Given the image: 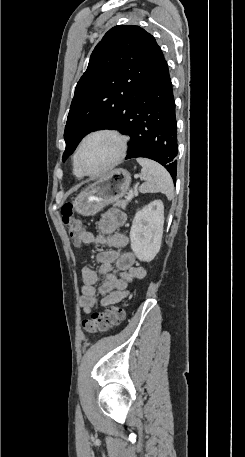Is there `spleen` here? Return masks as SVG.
Returning a JSON list of instances; mask_svg holds the SVG:
<instances>
[{"label":"spleen","mask_w":245,"mask_h":457,"mask_svg":"<svg viewBox=\"0 0 245 457\" xmlns=\"http://www.w3.org/2000/svg\"><path fill=\"white\" fill-rule=\"evenodd\" d=\"M136 160L141 164V174L145 176L146 180L140 184L139 192H164L168 200H172L174 186L168 170L150 158H136Z\"/></svg>","instance_id":"3e777b00"}]
</instances>
